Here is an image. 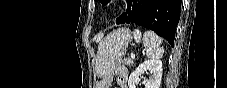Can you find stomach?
I'll use <instances>...</instances> for the list:
<instances>
[{"label": "stomach", "mask_w": 227, "mask_h": 88, "mask_svg": "<svg viewBox=\"0 0 227 88\" xmlns=\"http://www.w3.org/2000/svg\"><path fill=\"white\" fill-rule=\"evenodd\" d=\"M131 40L132 34L128 28H118L101 41L95 60V71L98 76L107 77L114 71Z\"/></svg>", "instance_id": "1"}]
</instances>
